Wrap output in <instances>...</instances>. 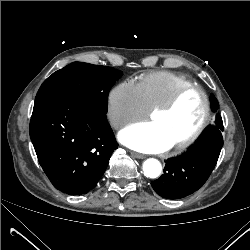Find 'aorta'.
<instances>
[{
  "mask_svg": "<svg viewBox=\"0 0 250 250\" xmlns=\"http://www.w3.org/2000/svg\"><path fill=\"white\" fill-rule=\"evenodd\" d=\"M143 171L145 176L149 178H157L162 171L161 163L157 159H147L143 163Z\"/></svg>",
  "mask_w": 250,
  "mask_h": 250,
  "instance_id": "1",
  "label": "aorta"
}]
</instances>
